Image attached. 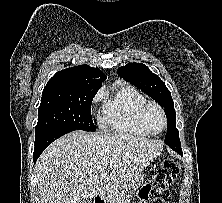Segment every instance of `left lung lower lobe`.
Masks as SVG:
<instances>
[{
    "label": "left lung lower lobe",
    "mask_w": 222,
    "mask_h": 203,
    "mask_svg": "<svg viewBox=\"0 0 222 203\" xmlns=\"http://www.w3.org/2000/svg\"><path fill=\"white\" fill-rule=\"evenodd\" d=\"M169 147L173 149L174 151H176L178 154L183 155L180 144H175V145L171 144L169 145Z\"/></svg>",
    "instance_id": "0a47b994"
}]
</instances>
